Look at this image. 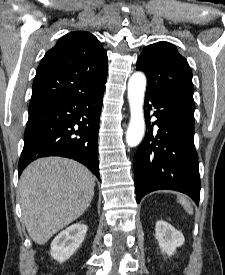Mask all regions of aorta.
Masks as SVG:
<instances>
[{
	"label": "aorta",
	"instance_id": "aorta-1",
	"mask_svg": "<svg viewBox=\"0 0 225 275\" xmlns=\"http://www.w3.org/2000/svg\"><path fill=\"white\" fill-rule=\"evenodd\" d=\"M146 76L142 72H135L128 82V100L130 106V122L126 133V143L130 147L137 146L145 132L143 113Z\"/></svg>",
	"mask_w": 225,
	"mask_h": 275
}]
</instances>
